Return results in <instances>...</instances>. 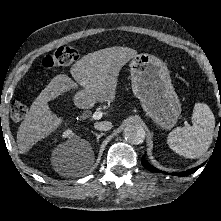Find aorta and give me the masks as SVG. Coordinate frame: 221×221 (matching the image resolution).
<instances>
[{"instance_id":"aorta-1","label":"aorta","mask_w":221,"mask_h":221,"mask_svg":"<svg viewBox=\"0 0 221 221\" xmlns=\"http://www.w3.org/2000/svg\"><path fill=\"white\" fill-rule=\"evenodd\" d=\"M124 138L131 144H140L145 139V130L141 125L129 124L123 131Z\"/></svg>"}]
</instances>
